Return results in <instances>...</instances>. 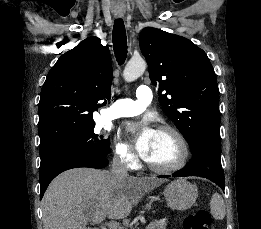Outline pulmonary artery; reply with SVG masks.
Segmentation results:
<instances>
[{"label": "pulmonary artery", "instance_id": "e3ab8cb5", "mask_svg": "<svg viewBox=\"0 0 261 229\" xmlns=\"http://www.w3.org/2000/svg\"><path fill=\"white\" fill-rule=\"evenodd\" d=\"M136 101L130 99L118 100L111 108L107 111V116L111 119L121 118V117H131L141 114L146 105H148L152 98V90L142 85L136 90Z\"/></svg>", "mask_w": 261, "mask_h": 229}]
</instances>
